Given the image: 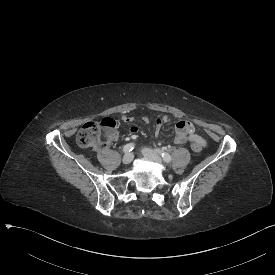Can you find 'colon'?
Listing matches in <instances>:
<instances>
[{"label":"colon","instance_id":"1","mask_svg":"<svg viewBox=\"0 0 275 275\" xmlns=\"http://www.w3.org/2000/svg\"><path fill=\"white\" fill-rule=\"evenodd\" d=\"M118 137L117 125L113 118H104L101 121H88L79 130L76 142L80 147H100V144H110ZM205 145L196 141L192 150L200 152Z\"/></svg>","mask_w":275,"mask_h":275}]
</instances>
